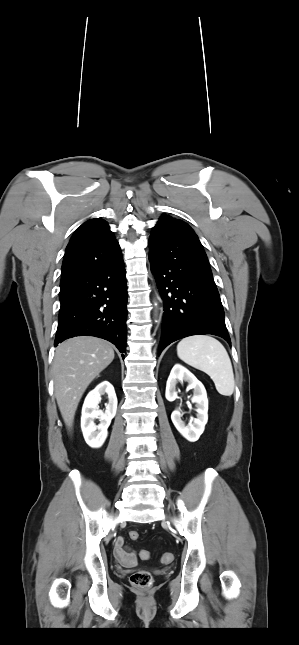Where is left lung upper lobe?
<instances>
[{
  "instance_id": "1",
  "label": "left lung upper lobe",
  "mask_w": 299,
  "mask_h": 645,
  "mask_svg": "<svg viewBox=\"0 0 299 645\" xmlns=\"http://www.w3.org/2000/svg\"><path fill=\"white\" fill-rule=\"evenodd\" d=\"M171 219H174V218H172L171 216H168V215H165V214H164L163 216H161L160 220L158 221V224H159V223H164V222L169 221V220H171Z\"/></svg>"
}]
</instances>
